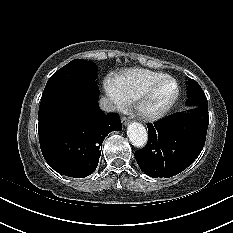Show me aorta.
I'll list each match as a JSON object with an SVG mask.
<instances>
[{
    "instance_id": "obj_1",
    "label": "aorta",
    "mask_w": 233,
    "mask_h": 233,
    "mask_svg": "<svg viewBox=\"0 0 233 233\" xmlns=\"http://www.w3.org/2000/svg\"><path fill=\"white\" fill-rule=\"evenodd\" d=\"M127 136L135 147H143L148 140V133L145 127L138 122H132L127 128Z\"/></svg>"
}]
</instances>
